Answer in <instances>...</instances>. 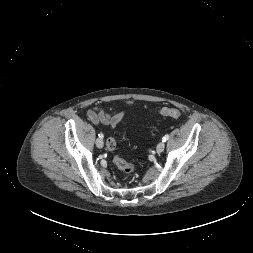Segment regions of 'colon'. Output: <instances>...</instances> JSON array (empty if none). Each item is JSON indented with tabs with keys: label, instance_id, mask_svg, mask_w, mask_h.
<instances>
[{
	"label": "colon",
	"instance_id": "1",
	"mask_svg": "<svg viewBox=\"0 0 253 253\" xmlns=\"http://www.w3.org/2000/svg\"><path fill=\"white\" fill-rule=\"evenodd\" d=\"M158 113L163 115V116H168L172 118H180L181 117V112L178 109L175 108H169V107H164L158 110ZM107 148L110 151H114L116 149V140L113 137H109L106 142ZM113 162L115 166L122 172L126 174H133L136 172V167L128 163L126 160H124L122 157L119 155H115L113 158Z\"/></svg>",
	"mask_w": 253,
	"mask_h": 253
}]
</instances>
